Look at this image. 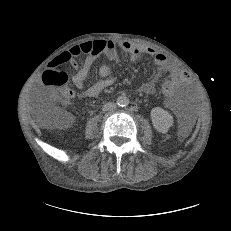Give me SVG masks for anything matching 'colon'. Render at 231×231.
Segmentation results:
<instances>
[{
    "instance_id": "obj_1",
    "label": "colon",
    "mask_w": 231,
    "mask_h": 231,
    "mask_svg": "<svg viewBox=\"0 0 231 231\" xmlns=\"http://www.w3.org/2000/svg\"><path fill=\"white\" fill-rule=\"evenodd\" d=\"M66 59L67 57L62 55L59 63L62 64ZM56 67L47 69L42 77L48 88L46 95L49 103V106L43 110L42 116L45 126L49 128H62L69 123V116L63 109L71 100V91L67 87L68 76ZM175 89L176 82L173 79H165L162 82L161 91L163 94L172 96Z\"/></svg>"
}]
</instances>
